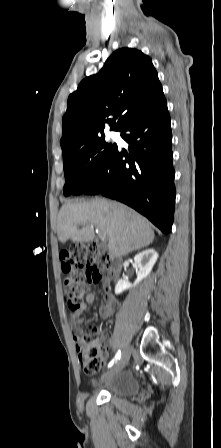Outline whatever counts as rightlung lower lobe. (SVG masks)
Returning <instances> with one entry per match:
<instances>
[{"label":"right lung lower lobe","mask_w":221,"mask_h":448,"mask_svg":"<svg viewBox=\"0 0 221 448\" xmlns=\"http://www.w3.org/2000/svg\"><path fill=\"white\" fill-rule=\"evenodd\" d=\"M128 154L116 148L84 194H102L146 216L170 233L175 206L170 116L164 94L129 117L119 130Z\"/></svg>","instance_id":"obj_1"}]
</instances>
